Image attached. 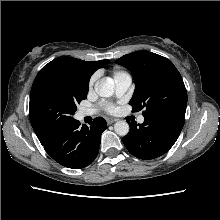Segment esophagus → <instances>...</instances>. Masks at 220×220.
<instances>
[{
  "label": "esophagus",
  "mask_w": 220,
  "mask_h": 220,
  "mask_svg": "<svg viewBox=\"0 0 220 220\" xmlns=\"http://www.w3.org/2000/svg\"><path fill=\"white\" fill-rule=\"evenodd\" d=\"M107 124H112V123H114V122H116L117 121V119H111V118H108L107 120Z\"/></svg>",
  "instance_id": "34e87169"
}]
</instances>
